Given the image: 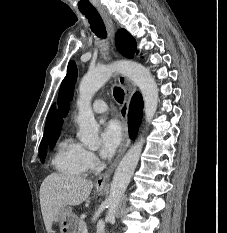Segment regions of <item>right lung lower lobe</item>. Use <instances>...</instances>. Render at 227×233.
<instances>
[{
	"mask_svg": "<svg viewBox=\"0 0 227 233\" xmlns=\"http://www.w3.org/2000/svg\"><path fill=\"white\" fill-rule=\"evenodd\" d=\"M134 100H135V96L131 101L129 114H128L129 134L131 139H134L136 137L139 128V122L137 121V108Z\"/></svg>",
	"mask_w": 227,
	"mask_h": 233,
	"instance_id": "98d812e1",
	"label": "right lung lower lobe"
}]
</instances>
